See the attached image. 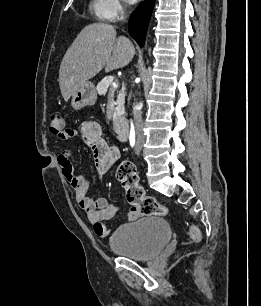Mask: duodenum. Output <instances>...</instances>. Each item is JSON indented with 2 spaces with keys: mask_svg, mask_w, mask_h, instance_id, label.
<instances>
[{
  "mask_svg": "<svg viewBox=\"0 0 261 306\" xmlns=\"http://www.w3.org/2000/svg\"><path fill=\"white\" fill-rule=\"evenodd\" d=\"M115 131L121 137H127L129 135L130 127L128 121L123 117H116L113 122Z\"/></svg>",
  "mask_w": 261,
  "mask_h": 306,
  "instance_id": "1",
  "label": "duodenum"
}]
</instances>
